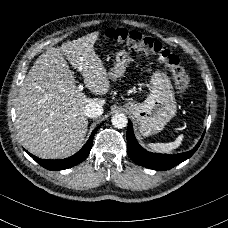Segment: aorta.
Returning a JSON list of instances; mask_svg holds the SVG:
<instances>
[{
    "label": "aorta",
    "instance_id": "1",
    "mask_svg": "<svg viewBox=\"0 0 228 228\" xmlns=\"http://www.w3.org/2000/svg\"><path fill=\"white\" fill-rule=\"evenodd\" d=\"M111 122L115 128L122 129L127 126L128 119L124 113H116L112 116Z\"/></svg>",
    "mask_w": 228,
    "mask_h": 228
}]
</instances>
